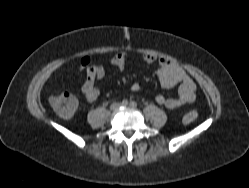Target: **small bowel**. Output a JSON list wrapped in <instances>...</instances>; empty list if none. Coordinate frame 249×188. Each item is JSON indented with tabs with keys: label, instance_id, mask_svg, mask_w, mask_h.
Wrapping results in <instances>:
<instances>
[{
	"label": "small bowel",
	"instance_id": "1",
	"mask_svg": "<svg viewBox=\"0 0 249 188\" xmlns=\"http://www.w3.org/2000/svg\"><path fill=\"white\" fill-rule=\"evenodd\" d=\"M140 58L149 64H158L155 74L163 88H170L180 83L177 96H167L159 94L155 97L158 104L167 109L180 108L196 99V84L188 73L177 63L165 58H158L151 53H141ZM129 54L122 52L114 55L110 63L120 70H124L128 65ZM81 66L85 69L86 80L82 86L83 95L88 102H95L100 91L96 86V81L104 78L106 70L102 65L90 63L88 58L81 60ZM133 91L139 90V85L134 83L131 87Z\"/></svg>",
	"mask_w": 249,
	"mask_h": 188
}]
</instances>
